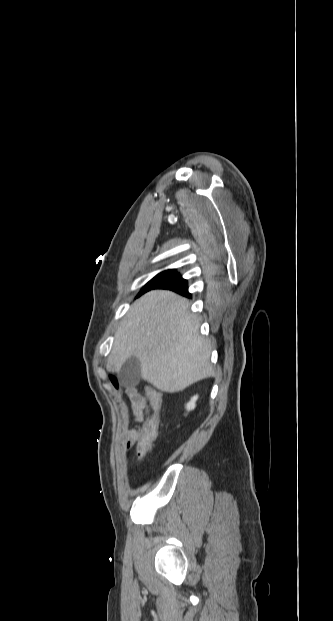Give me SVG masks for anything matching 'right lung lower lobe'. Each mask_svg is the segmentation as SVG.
I'll use <instances>...</instances> for the list:
<instances>
[{
	"instance_id": "right-lung-lower-lobe-1",
	"label": "right lung lower lobe",
	"mask_w": 333,
	"mask_h": 621,
	"mask_svg": "<svg viewBox=\"0 0 333 621\" xmlns=\"http://www.w3.org/2000/svg\"><path fill=\"white\" fill-rule=\"evenodd\" d=\"M151 289H169L186 297H191V294L188 292L187 280L183 279L176 272L162 278Z\"/></svg>"
}]
</instances>
